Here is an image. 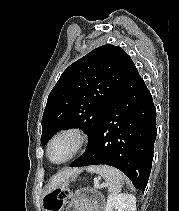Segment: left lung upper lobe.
<instances>
[{
    "label": "left lung upper lobe",
    "mask_w": 179,
    "mask_h": 211,
    "mask_svg": "<svg viewBox=\"0 0 179 211\" xmlns=\"http://www.w3.org/2000/svg\"><path fill=\"white\" fill-rule=\"evenodd\" d=\"M132 59L114 45H103L71 64L50 92L42 117L41 144L60 129L80 127L94 137L100 120L126 79Z\"/></svg>",
    "instance_id": "left-lung-upper-lobe-1"
}]
</instances>
